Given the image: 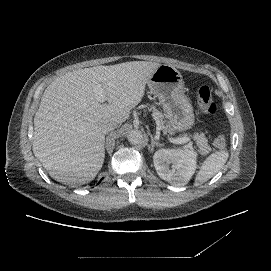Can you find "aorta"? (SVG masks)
Segmentation results:
<instances>
[{
	"mask_svg": "<svg viewBox=\"0 0 271 271\" xmlns=\"http://www.w3.org/2000/svg\"><path fill=\"white\" fill-rule=\"evenodd\" d=\"M128 141L132 145H139L143 141V134L140 130H132L128 134Z\"/></svg>",
	"mask_w": 271,
	"mask_h": 271,
	"instance_id": "762f6f07",
	"label": "aorta"
}]
</instances>
